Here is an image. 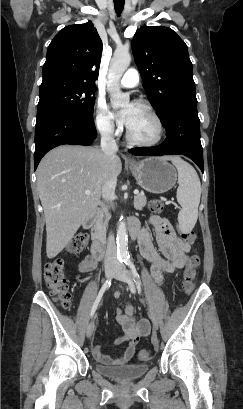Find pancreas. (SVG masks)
I'll return each instance as SVG.
<instances>
[{"label":"pancreas","instance_id":"1","mask_svg":"<svg viewBox=\"0 0 243 409\" xmlns=\"http://www.w3.org/2000/svg\"><path fill=\"white\" fill-rule=\"evenodd\" d=\"M145 205H146V196L144 195V193L137 194L134 197V208L136 210L141 211L143 210V207ZM109 219H110V215L107 212L101 214L98 220V224L95 228L96 235L99 239H105L106 229H107Z\"/></svg>","mask_w":243,"mask_h":409}]
</instances>
